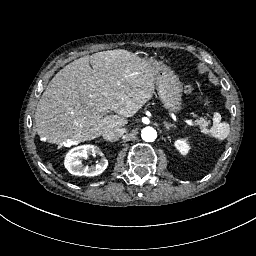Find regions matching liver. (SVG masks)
I'll return each instance as SVG.
<instances>
[{
    "label": "liver",
    "mask_w": 256,
    "mask_h": 256,
    "mask_svg": "<svg viewBox=\"0 0 256 256\" xmlns=\"http://www.w3.org/2000/svg\"><path fill=\"white\" fill-rule=\"evenodd\" d=\"M155 80L151 61L124 49L76 59L43 92L35 112L37 134L53 144H78L121 128L152 98Z\"/></svg>",
    "instance_id": "1"
}]
</instances>
